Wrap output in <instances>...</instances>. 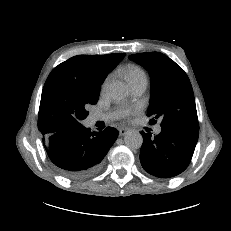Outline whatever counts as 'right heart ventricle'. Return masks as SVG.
<instances>
[{
    "instance_id": "e07e8e85",
    "label": "right heart ventricle",
    "mask_w": 231,
    "mask_h": 231,
    "mask_svg": "<svg viewBox=\"0 0 231 231\" xmlns=\"http://www.w3.org/2000/svg\"><path fill=\"white\" fill-rule=\"evenodd\" d=\"M120 73L130 88L140 84H147L146 73L139 66L127 65L120 70Z\"/></svg>"
}]
</instances>
